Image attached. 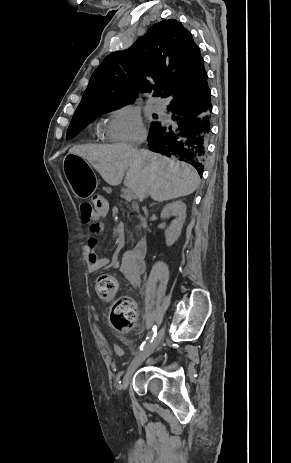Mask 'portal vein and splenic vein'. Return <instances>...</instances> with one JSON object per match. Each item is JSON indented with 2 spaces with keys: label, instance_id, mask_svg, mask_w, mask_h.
I'll return each mask as SVG.
<instances>
[{
  "label": "portal vein and splenic vein",
  "instance_id": "18ae733b",
  "mask_svg": "<svg viewBox=\"0 0 291 463\" xmlns=\"http://www.w3.org/2000/svg\"><path fill=\"white\" fill-rule=\"evenodd\" d=\"M123 193H124V197H125V199L127 201H131L133 199V197H134L133 191L129 187L124 189Z\"/></svg>",
  "mask_w": 291,
  "mask_h": 463
}]
</instances>
